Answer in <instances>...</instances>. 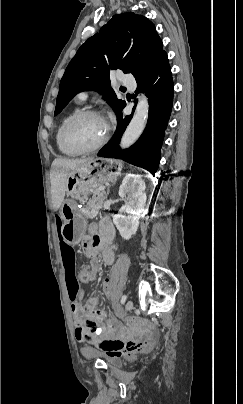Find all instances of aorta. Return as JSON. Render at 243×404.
I'll list each match as a JSON object with an SVG mask.
<instances>
[{"instance_id":"1","label":"aorta","mask_w":243,"mask_h":404,"mask_svg":"<svg viewBox=\"0 0 243 404\" xmlns=\"http://www.w3.org/2000/svg\"><path fill=\"white\" fill-rule=\"evenodd\" d=\"M148 98L142 96L137 104L135 114L127 126L120 142L121 148H130L132 144H135L136 140L140 138L148 120Z\"/></svg>"}]
</instances>
